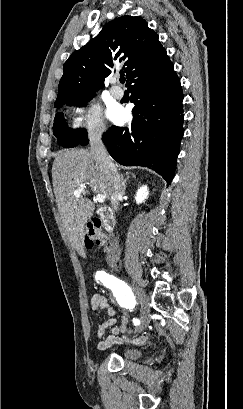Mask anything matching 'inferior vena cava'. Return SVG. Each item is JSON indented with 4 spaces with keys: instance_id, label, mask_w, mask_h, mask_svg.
I'll list each match as a JSON object with an SVG mask.
<instances>
[{
    "instance_id": "602c4592",
    "label": "inferior vena cava",
    "mask_w": 243,
    "mask_h": 409,
    "mask_svg": "<svg viewBox=\"0 0 243 409\" xmlns=\"http://www.w3.org/2000/svg\"><path fill=\"white\" fill-rule=\"evenodd\" d=\"M90 152L99 161L107 175L110 187L111 207L115 212L119 208V198L123 195L121 178L101 139V133H96L91 137ZM119 253L120 250L118 241L114 239L111 241L109 247V259L112 261V263L117 261Z\"/></svg>"
}]
</instances>
